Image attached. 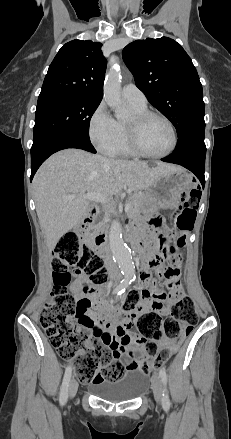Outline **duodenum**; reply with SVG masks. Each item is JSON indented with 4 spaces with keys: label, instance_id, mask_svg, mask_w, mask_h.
Segmentation results:
<instances>
[{
    "label": "duodenum",
    "instance_id": "duodenum-1",
    "mask_svg": "<svg viewBox=\"0 0 231 439\" xmlns=\"http://www.w3.org/2000/svg\"><path fill=\"white\" fill-rule=\"evenodd\" d=\"M89 211H90L91 215H90V216H87V217L83 220L81 226H79V228H78V231H80V232H82V233H84V234H86V233L88 232L89 226H90V224L92 223L93 218H94V216H95V214H96V212H97V207H96V205H95V204H91V205L89 206ZM105 235H106L105 232H101V233H98V234H96V235L94 236V242H93V245H94L98 250H102V249H103V246H104V243H105ZM135 246H136L137 249H140V243H139V240H136V244H135ZM144 253H145V252H143V253L141 254V258H142V259H143V254H144ZM142 270H144V265H143V263H142Z\"/></svg>",
    "mask_w": 231,
    "mask_h": 439
}]
</instances>
